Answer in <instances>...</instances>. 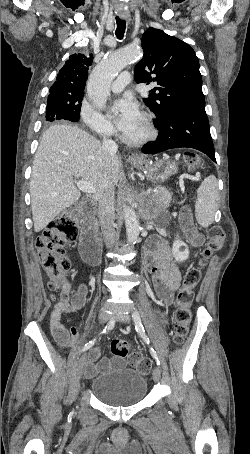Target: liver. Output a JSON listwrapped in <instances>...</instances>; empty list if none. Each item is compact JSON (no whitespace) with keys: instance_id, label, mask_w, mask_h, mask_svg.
Returning a JSON list of instances; mask_svg holds the SVG:
<instances>
[{"instance_id":"1","label":"liver","mask_w":250,"mask_h":454,"mask_svg":"<svg viewBox=\"0 0 250 454\" xmlns=\"http://www.w3.org/2000/svg\"><path fill=\"white\" fill-rule=\"evenodd\" d=\"M120 172L119 157L105 156L100 141L89 133L67 124L48 128L35 154L30 179L34 231L46 228L79 200L76 178L95 188L90 197L98 201L109 188L114 190Z\"/></svg>"}]
</instances>
